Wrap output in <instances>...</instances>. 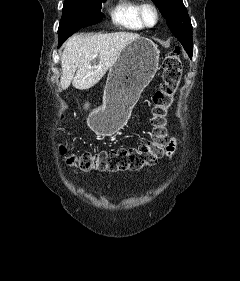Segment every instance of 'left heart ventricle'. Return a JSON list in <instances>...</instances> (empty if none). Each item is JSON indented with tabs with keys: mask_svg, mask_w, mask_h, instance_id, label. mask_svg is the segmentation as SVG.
Returning a JSON list of instances; mask_svg holds the SVG:
<instances>
[{
	"mask_svg": "<svg viewBox=\"0 0 240 281\" xmlns=\"http://www.w3.org/2000/svg\"><path fill=\"white\" fill-rule=\"evenodd\" d=\"M145 16H146V20L149 23H152L154 21V13L150 9L146 10Z\"/></svg>",
	"mask_w": 240,
	"mask_h": 281,
	"instance_id": "obj_1",
	"label": "left heart ventricle"
}]
</instances>
